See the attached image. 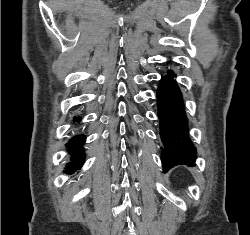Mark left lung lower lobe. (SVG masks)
<instances>
[{
    "label": "left lung lower lobe",
    "mask_w": 250,
    "mask_h": 235,
    "mask_svg": "<svg viewBox=\"0 0 250 235\" xmlns=\"http://www.w3.org/2000/svg\"><path fill=\"white\" fill-rule=\"evenodd\" d=\"M174 77L175 74L168 71L166 76L161 77L157 90V115L164 144L161 154L164 172L176 165H193L196 159V150L187 132L180 88Z\"/></svg>",
    "instance_id": "0a47b994"
}]
</instances>
